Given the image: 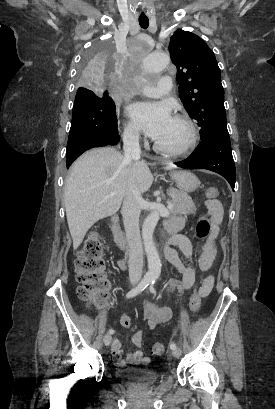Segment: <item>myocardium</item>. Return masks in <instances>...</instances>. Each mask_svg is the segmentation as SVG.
Returning <instances> with one entry per match:
<instances>
[{"instance_id":"f54148a6","label":"myocardium","mask_w":275,"mask_h":409,"mask_svg":"<svg viewBox=\"0 0 275 409\" xmlns=\"http://www.w3.org/2000/svg\"><path fill=\"white\" fill-rule=\"evenodd\" d=\"M172 119L183 124L186 127L187 137L185 141L177 147H165L158 144L152 139L153 148L155 149V151L161 154L181 155L187 152L195 144L197 139V131L193 121L185 115H175L172 117Z\"/></svg>"}]
</instances>
